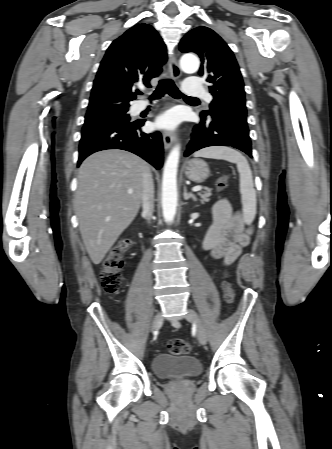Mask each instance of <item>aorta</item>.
<instances>
[{
  "label": "aorta",
  "instance_id": "obj_1",
  "mask_svg": "<svg viewBox=\"0 0 332 449\" xmlns=\"http://www.w3.org/2000/svg\"><path fill=\"white\" fill-rule=\"evenodd\" d=\"M199 59L192 54L181 57L180 66L186 73H195L199 69ZM180 158V145L171 150L164 165L162 178V212L166 222L171 223L177 210V169Z\"/></svg>",
  "mask_w": 332,
  "mask_h": 449
}]
</instances>
